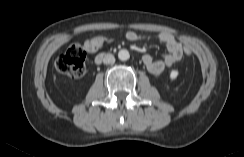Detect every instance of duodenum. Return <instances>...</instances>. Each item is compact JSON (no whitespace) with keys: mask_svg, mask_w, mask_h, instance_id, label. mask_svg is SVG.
<instances>
[{"mask_svg":"<svg viewBox=\"0 0 244 157\" xmlns=\"http://www.w3.org/2000/svg\"><path fill=\"white\" fill-rule=\"evenodd\" d=\"M107 55H108L107 53L98 54L95 58V62L100 64Z\"/></svg>","mask_w":244,"mask_h":157,"instance_id":"1","label":"duodenum"}]
</instances>
